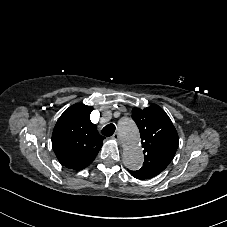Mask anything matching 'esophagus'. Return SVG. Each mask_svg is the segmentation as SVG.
<instances>
[{"mask_svg":"<svg viewBox=\"0 0 227 227\" xmlns=\"http://www.w3.org/2000/svg\"><path fill=\"white\" fill-rule=\"evenodd\" d=\"M112 138H113L118 144L121 143L118 133H115V134L112 136Z\"/></svg>","mask_w":227,"mask_h":227,"instance_id":"obj_1","label":"esophagus"}]
</instances>
